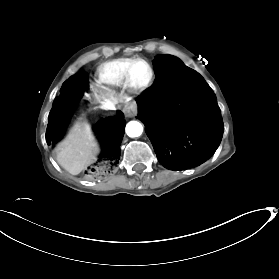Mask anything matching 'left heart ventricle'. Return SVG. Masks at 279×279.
Wrapping results in <instances>:
<instances>
[{"instance_id": "b2bd125f", "label": "left heart ventricle", "mask_w": 279, "mask_h": 279, "mask_svg": "<svg viewBox=\"0 0 279 279\" xmlns=\"http://www.w3.org/2000/svg\"><path fill=\"white\" fill-rule=\"evenodd\" d=\"M149 77V69L144 63H136L132 70V79L136 84H143Z\"/></svg>"}]
</instances>
